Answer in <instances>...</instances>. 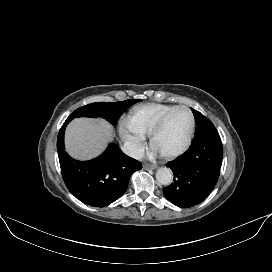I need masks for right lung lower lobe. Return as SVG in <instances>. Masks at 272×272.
Returning a JSON list of instances; mask_svg holds the SVG:
<instances>
[{
	"label": "right lung lower lobe",
	"mask_w": 272,
	"mask_h": 272,
	"mask_svg": "<svg viewBox=\"0 0 272 272\" xmlns=\"http://www.w3.org/2000/svg\"><path fill=\"white\" fill-rule=\"evenodd\" d=\"M70 121L66 119L57 138L63 180L68 190L81 202L105 207L124 194L131 174L142 169V165L126 156L113 143L103 154L90 161L71 158L64 149V132Z\"/></svg>",
	"instance_id": "98d812e1"
}]
</instances>
